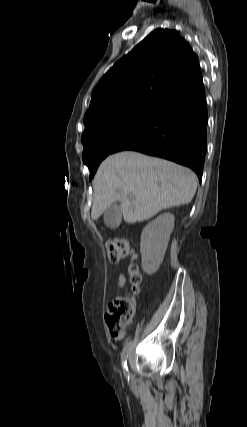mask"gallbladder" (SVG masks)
<instances>
[{"instance_id": "gallbladder-1", "label": "gallbladder", "mask_w": 247, "mask_h": 427, "mask_svg": "<svg viewBox=\"0 0 247 427\" xmlns=\"http://www.w3.org/2000/svg\"><path fill=\"white\" fill-rule=\"evenodd\" d=\"M122 219V211L120 205L117 202H113L104 211V223L107 227L112 229L117 228Z\"/></svg>"}]
</instances>
